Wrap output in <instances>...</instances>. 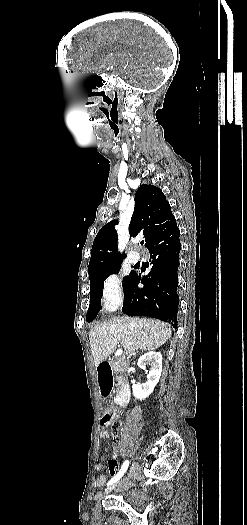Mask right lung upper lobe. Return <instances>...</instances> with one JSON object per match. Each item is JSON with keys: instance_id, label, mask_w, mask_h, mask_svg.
<instances>
[{"instance_id": "obj_1", "label": "right lung upper lobe", "mask_w": 247, "mask_h": 525, "mask_svg": "<svg viewBox=\"0 0 247 525\" xmlns=\"http://www.w3.org/2000/svg\"><path fill=\"white\" fill-rule=\"evenodd\" d=\"M110 221L94 239L88 273L96 274L121 267V254L117 247V232ZM176 225L170 204L158 187L141 185L135 194V208L129 225L130 236L142 233L146 244ZM145 244V245H146ZM125 257V255H124Z\"/></svg>"}]
</instances>
